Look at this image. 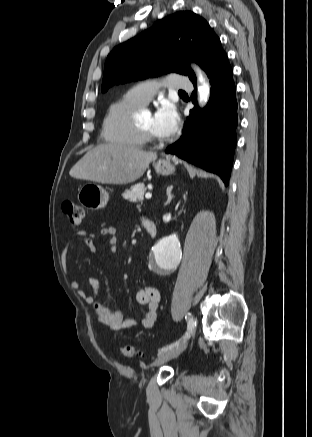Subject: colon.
Here are the masks:
<instances>
[{
    "instance_id": "colon-1",
    "label": "colon",
    "mask_w": 312,
    "mask_h": 437,
    "mask_svg": "<svg viewBox=\"0 0 312 437\" xmlns=\"http://www.w3.org/2000/svg\"><path fill=\"white\" fill-rule=\"evenodd\" d=\"M62 207L72 225H79L82 222L85 211L80 205L73 201H65ZM122 353L126 357H134L137 354V350L133 345L127 344L122 347Z\"/></svg>"
}]
</instances>
